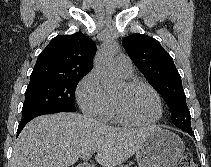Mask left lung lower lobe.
<instances>
[{"instance_id":"1","label":"left lung lower lobe","mask_w":211,"mask_h":167,"mask_svg":"<svg viewBox=\"0 0 211 167\" xmlns=\"http://www.w3.org/2000/svg\"><path fill=\"white\" fill-rule=\"evenodd\" d=\"M184 131L189 133L191 136H194L192 128L191 129H185Z\"/></svg>"}]
</instances>
